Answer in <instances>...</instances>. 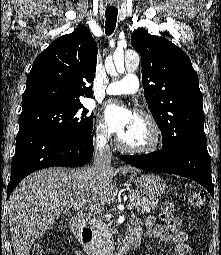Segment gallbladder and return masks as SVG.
<instances>
[{
    "label": "gallbladder",
    "instance_id": "obj_1",
    "mask_svg": "<svg viewBox=\"0 0 221 255\" xmlns=\"http://www.w3.org/2000/svg\"><path fill=\"white\" fill-rule=\"evenodd\" d=\"M64 213H65V214H69V213H68V212H66V211H65Z\"/></svg>",
    "mask_w": 221,
    "mask_h": 255
}]
</instances>
